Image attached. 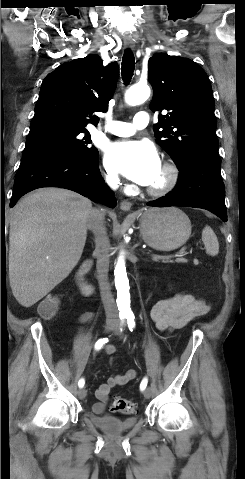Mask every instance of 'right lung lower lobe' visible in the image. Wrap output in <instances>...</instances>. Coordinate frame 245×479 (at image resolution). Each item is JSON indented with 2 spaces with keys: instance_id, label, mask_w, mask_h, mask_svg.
I'll list each match as a JSON object with an SVG mask.
<instances>
[{
  "instance_id": "1",
  "label": "right lung lower lobe",
  "mask_w": 245,
  "mask_h": 479,
  "mask_svg": "<svg viewBox=\"0 0 245 479\" xmlns=\"http://www.w3.org/2000/svg\"><path fill=\"white\" fill-rule=\"evenodd\" d=\"M98 166L99 162L57 151L24 158L15 176L10 206L34 189L61 187L115 207L113 192L102 179Z\"/></svg>"
}]
</instances>
